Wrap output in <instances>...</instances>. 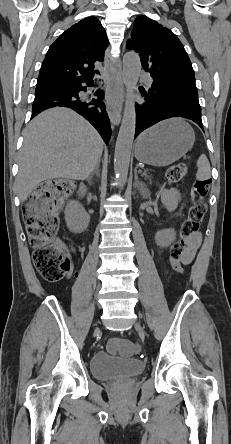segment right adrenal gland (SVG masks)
Listing matches in <instances>:
<instances>
[{"instance_id":"2a0ac1e0","label":"right adrenal gland","mask_w":231,"mask_h":444,"mask_svg":"<svg viewBox=\"0 0 231 444\" xmlns=\"http://www.w3.org/2000/svg\"><path fill=\"white\" fill-rule=\"evenodd\" d=\"M99 165L100 162H98L93 170V172L90 174V177L88 178V180H91L93 178V176L96 174L97 176H99Z\"/></svg>"}]
</instances>
